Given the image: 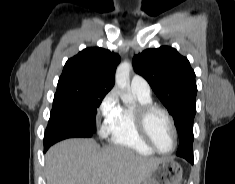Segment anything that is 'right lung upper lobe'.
<instances>
[{"label": "right lung upper lobe", "mask_w": 235, "mask_h": 184, "mask_svg": "<svg viewBox=\"0 0 235 184\" xmlns=\"http://www.w3.org/2000/svg\"><path fill=\"white\" fill-rule=\"evenodd\" d=\"M120 62L117 53L89 47L68 59L59 78L57 90L96 87L110 91Z\"/></svg>", "instance_id": "obj_1"}]
</instances>
